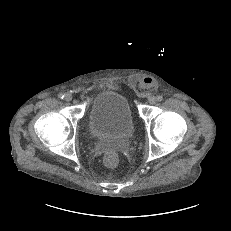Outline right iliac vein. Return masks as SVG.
<instances>
[{"label": "right iliac vein", "mask_w": 231, "mask_h": 231, "mask_svg": "<svg viewBox=\"0 0 231 231\" xmlns=\"http://www.w3.org/2000/svg\"><path fill=\"white\" fill-rule=\"evenodd\" d=\"M65 101L70 102L72 100V95L70 93H67L64 97Z\"/></svg>", "instance_id": "right-iliac-vein-1"}]
</instances>
